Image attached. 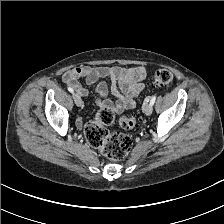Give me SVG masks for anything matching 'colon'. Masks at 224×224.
<instances>
[{
    "mask_svg": "<svg viewBox=\"0 0 224 224\" xmlns=\"http://www.w3.org/2000/svg\"><path fill=\"white\" fill-rule=\"evenodd\" d=\"M155 85L168 87L173 83L174 77L168 69H159L152 73ZM114 113L109 108H102L94 120L86 124L84 134L87 142L99 148L102 154L112 160L123 159L130 151L132 139L129 135L119 132H110L107 127L113 124ZM119 125L126 130L137 125L135 116H124L119 119Z\"/></svg>",
    "mask_w": 224,
    "mask_h": 224,
    "instance_id": "obj_1",
    "label": "colon"
}]
</instances>
